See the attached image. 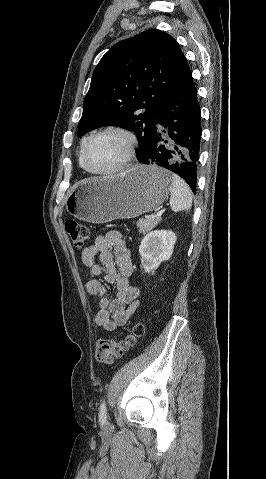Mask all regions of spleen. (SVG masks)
<instances>
[{
	"label": "spleen",
	"mask_w": 266,
	"mask_h": 479,
	"mask_svg": "<svg viewBox=\"0 0 266 479\" xmlns=\"http://www.w3.org/2000/svg\"><path fill=\"white\" fill-rule=\"evenodd\" d=\"M170 206L173 212L190 211L192 196L188 185L178 175H172L170 186Z\"/></svg>",
	"instance_id": "spleen-1"
}]
</instances>
